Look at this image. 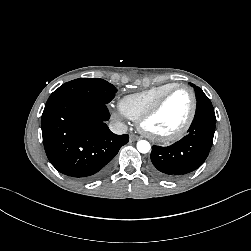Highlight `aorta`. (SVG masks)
Instances as JSON below:
<instances>
[{"label": "aorta", "mask_w": 251, "mask_h": 251, "mask_svg": "<svg viewBox=\"0 0 251 251\" xmlns=\"http://www.w3.org/2000/svg\"><path fill=\"white\" fill-rule=\"evenodd\" d=\"M150 148L151 146L149 142L146 140H140L137 142V149L140 153H143V154L148 153L150 151Z\"/></svg>", "instance_id": "aorta-1"}]
</instances>
